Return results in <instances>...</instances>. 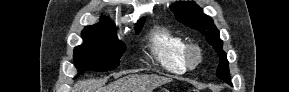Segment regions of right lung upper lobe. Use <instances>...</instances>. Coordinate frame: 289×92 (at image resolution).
<instances>
[{
    "mask_svg": "<svg viewBox=\"0 0 289 92\" xmlns=\"http://www.w3.org/2000/svg\"><path fill=\"white\" fill-rule=\"evenodd\" d=\"M145 22V19L142 18L136 23V27L143 24ZM85 29H92V30H99V31H115V27L113 24L109 21L108 17L102 16L101 17V22L91 25V26H86Z\"/></svg>",
    "mask_w": 289,
    "mask_h": 92,
    "instance_id": "1",
    "label": "right lung upper lobe"
}]
</instances>
